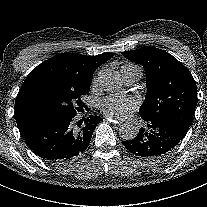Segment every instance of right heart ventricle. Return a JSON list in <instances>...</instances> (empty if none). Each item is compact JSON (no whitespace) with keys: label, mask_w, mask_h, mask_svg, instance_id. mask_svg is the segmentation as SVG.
Segmentation results:
<instances>
[{"label":"right heart ventricle","mask_w":207,"mask_h":207,"mask_svg":"<svg viewBox=\"0 0 207 207\" xmlns=\"http://www.w3.org/2000/svg\"><path fill=\"white\" fill-rule=\"evenodd\" d=\"M129 66H131V65H124L123 67H129ZM123 67H122V68H123Z\"/></svg>","instance_id":"1"}]
</instances>
